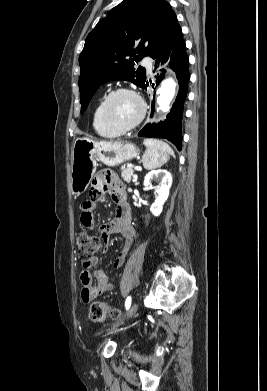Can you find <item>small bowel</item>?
Returning a JSON list of instances; mask_svg holds the SVG:
<instances>
[{
    "instance_id": "1",
    "label": "small bowel",
    "mask_w": 267,
    "mask_h": 391,
    "mask_svg": "<svg viewBox=\"0 0 267 391\" xmlns=\"http://www.w3.org/2000/svg\"><path fill=\"white\" fill-rule=\"evenodd\" d=\"M105 195H109L116 204V215L113 220L100 226L98 232L106 245L112 234L118 233L124 238L123 248L114 261V266L119 268L124 264L130 248L137 242L139 236L131 224V210L126 201L124 184L112 171L101 169L95 174L89 191L90 198L80 205V220L83 227L95 229L94 210L97 201ZM98 263L99 258L93 257L88 265H83L80 274L81 297L86 303L114 288L113 282L103 270L90 271V268Z\"/></svg>"
}]
</instances>
